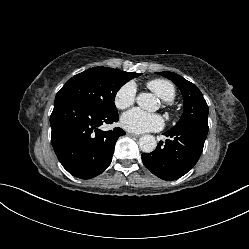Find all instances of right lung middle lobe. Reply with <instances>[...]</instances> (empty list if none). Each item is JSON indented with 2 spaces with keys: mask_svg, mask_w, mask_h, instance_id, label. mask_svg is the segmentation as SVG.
<instances>
[{
  "mask_svg": "<svg viewBox=\"0 0 249 249\" xmlns=\"http://www.w3.org/2000/svg\"><path fill=\"white\" fill-rule=\"evenodd\" d=\"M107 67H93L79 73L66 82L56 97H69L77 100L93 111L116 113L114 99L117 91L126 82L140 76Z\"/></svg>",
  "mask_w": 249,
  "mask_h": 249,
  "instance_id": "obj_1",
  "label": "right lung middle lobe"
}]
</instances>
